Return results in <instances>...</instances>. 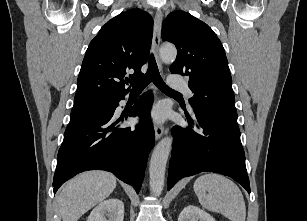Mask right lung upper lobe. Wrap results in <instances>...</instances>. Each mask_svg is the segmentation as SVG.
<instances>
[{"label":"right lung upper lobe","instance_id":"cb5924a9","mask_svg":"<svg viewBox=\"0 0 307 221\" xmlns=\"http://www.w3.org/2000/svg\"><path fill=\"white\" fill-rule=\"evenodd\" d=\"M153 34V19L139 9L128 10L109 20L90 42L77 80L74 105L124 99L126 73L143 75Z\"/></svg>","mask_w":307,"mask_h":221}]
</instances>
